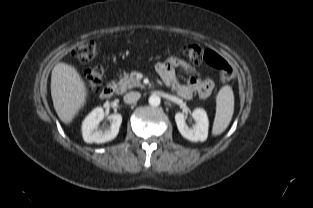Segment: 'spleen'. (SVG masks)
Wrapping results in <instances>:
<instances>
[{
    "label": "spleen",
    "mask_w": 313,
    "mask_h": 208,
    "mask_svg": "<svg viewBox=\"0 0 313 208\" xmlns=\"http://www.w3.org/2000/svg\"><path fill=\"white\" fill-rule=\"evenodd\" d=\"M234 112V95L230 86L220 89L216 97V115L212 134L220 135L228 127Z\"/></svg>",
    "instance_id": "obj_1"
}]
</instances>
